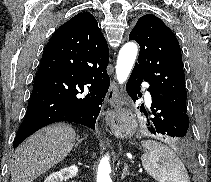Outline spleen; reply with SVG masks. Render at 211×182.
<instances>
[{"label":"spleen","mask_w":211,"mask_h":182,"mask_svg":"<svg viewBox=\"0 0 211 182\" xmlns=\"http://www.w3.org/2000/svg\"><path fill=\"white\" fill-rule=\"evenodd\" d=\"M145 171L157 182H190L186 168L168 146L153 140L142 141Z\"/></svg>","instance_id":"1"}]
</instances>
